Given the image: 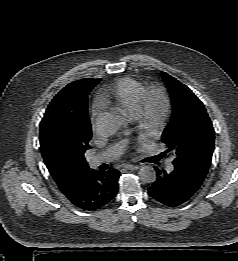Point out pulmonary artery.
I'll list each match as a JSON object with an SVG mask.
<instances>
[{
    "label": "pulmonary artery",
    "mask_w": 238,
    "mask_h": 261,
    "mask_svg": "<svg viewBox=\"0 0 238 261\" xmlns=\"http://www.w3.org/2000/svg\"><path fill=\"white\" fill-rule=\"evenodd\" d=\"M124 149H125L124 143L115 144V145L105 149L104 151H101L98 154L94 155L91 159V164L93 166H96L100 163L109 162L114 159H117L118 157H120L123 154ZM166 168L168 171L173 170V165H172L171 161L167 162Z\"/></svg>",
    "instance_id": "e3ab8cb5"
}]
</instances>
